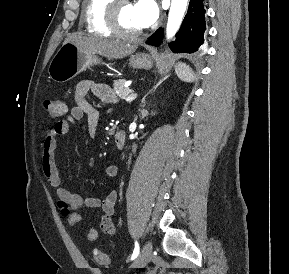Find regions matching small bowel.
I'll return each instance as SVG.
<instances>
[{
    "instance_id": "1",
    "label": "small bowel",
    "mask_w": 289,
    "mask_h": 274,
    "mask_svg": "<svg viewBox=\"0 0 289 274\" xmlns=\"http://www.w3.org/2000/svg\"><path fill=\"white\" fill-rule=\"evenodd\" d=\"M89 94H93L105 102H113L115 100L114 93L108 85L89 79L80 81L75 89V105L72 107L70 115L66 119L57 122L43 141L41 170L49 185L55 190L57 206L70 226L82 221L83 211L100 209L102 211L100 228L104 233L112 236L116 232L112 218L115 212L117 192L115 190L109 192L104 199L83 197L80 194L73 193L62 186L56 164L57 141L69 132L70 126L74 121L81 120L86 116L88 135L91 138L96 135L99 113L89 102ZM105 173L107 177L115 178L119 173V168L116 165H109ZM86 238L88 241H95L98 238V230L90 228Z\"/></svg>"
}]
</instances>
